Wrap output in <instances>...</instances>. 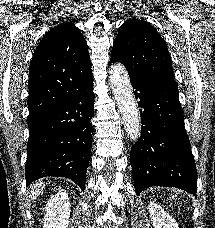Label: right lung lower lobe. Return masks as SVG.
<instances>
[{"label": "right lung lower lobe", "instance_id": "right-lung-lower-lobe-1", "mask_svg": "<svg viewBox=\"0 0 215 228\" xmlns=\"http://www.w3.org/2000/svg\"><path fill=\"white\" fill-rule=\"evenodd\" d=\"M93 75L73 82L66 98L28 119L26 185L46 176L73 180L82 190L90 159Z\"/></svg>", "mask_w": 215, "mask_h": 228}]
</instances>
